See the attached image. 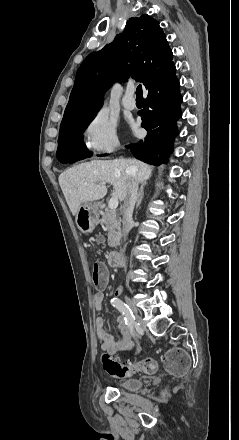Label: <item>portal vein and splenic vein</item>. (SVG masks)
<instances>
[{
    "label": "portal vein and splenic vein",
    "mask_w": 239,
    "mask_h": 440,
    "mask_svg": "<svg viewBox=\"0 0 239 440\" xmlns=\"http://www.w3.org/2000/svg\"><path fill=\"white\" fill-rule=\"evenodd\" d=\"M97 188H100V186H97ZM108 208H110V210H116V208H118V198H111Z\"/></svg>",
    "instance_id": "18ae733b"
}]
</instances>
